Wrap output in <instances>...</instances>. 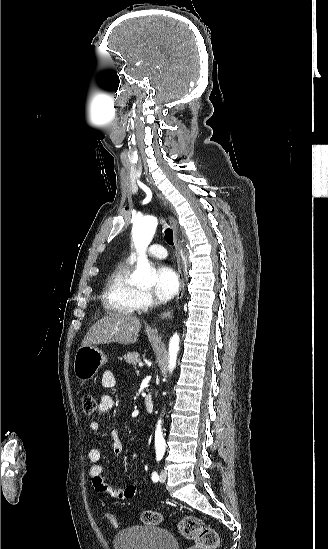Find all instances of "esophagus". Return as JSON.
Listing matches in <instances>:
<instances>
[{
	"label": "esophagus",
	"mask_w": 328,
	"mask_h": 549,
	"mask_svg": "<svg viewBox=\"0 0 328 549\" xmlns=\"http://www.w3.org/2000/svg\"><path fill=\"white\" fill-rule=\"evenodd\" d=\"M169 220L171 222V225L173 227V232H174V245H175V249H176V259H177V267H178L179 289H178L177 298H176V304L178 305V303L182 299L183 293H184V278H183V273H182V270H181V258H180L179 246H178V242H177L178 224H177L176 220L173 217H170ZM172 314H173V311L163 312L161 314V318H164V319L170 318L172 316Z\"/></svg>",
	"instance_id": "esophagus-1"
}]
</instances>
